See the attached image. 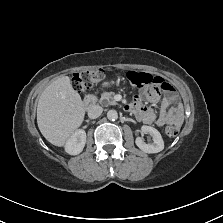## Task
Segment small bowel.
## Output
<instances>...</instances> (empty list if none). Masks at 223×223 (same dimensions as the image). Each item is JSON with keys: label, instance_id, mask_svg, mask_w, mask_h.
<instances>
[{"label": "small bowel", "instance_id": "c3829d8e", "mask_svg": "<svg viewBox=\"0 0 223 223\" xmlns=\"http://www.w3.org/2000/svg\"><path fill=\"white\" fill-rule=\"evenodd\" d=\"M157 83H164L165 95L161 101L159 115L156 116L154 111L143 104V94L146 95L149 101L155 102L160 100L161 93L156 91L153 86H145L143 93L134 97L133 103L129 104L127 109L133 111L137 117L145 123H156L158 126H180L184 120L183 109L176 105L178 96L173 87L158 77Z\"/></svg>", "mask_w": 223, "mask_h": 223}]
</instances>
